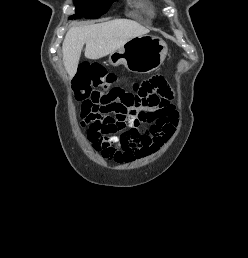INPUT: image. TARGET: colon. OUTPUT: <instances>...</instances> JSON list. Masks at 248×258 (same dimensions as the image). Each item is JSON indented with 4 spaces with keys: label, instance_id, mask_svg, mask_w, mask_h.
Returning a JSON list of instances; mask_svg holds the SVG:
<instances>
[{
    "label": "colon",
    "instance_id": "1",
    "mask_svg": "<svg viewBox=\"0 0 248 258\" xmlns=\"http://www.w3.org/2000/svg\"><path fill=\"white\" fill-rule=\"evenodd\" d=\"M102 71L100 67L83 64L74 88L75 97L83 102L87 133L92 140L123 129L131 120V113L125 112L111 94L114 77L103 76ZM97 86L102 87L103 93L97 91Z\"/></svg>",
    "mask_w": 248,
    "mask_h": 258
}]
</instances>
